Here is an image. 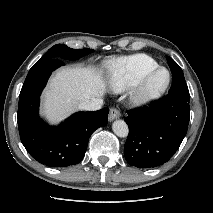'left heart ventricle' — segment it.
Wrapping results in <instances>:
<instances>
[{
    "label": "left heart ventricle",
    "instance_id": "1",
    "mask_svg": "<svg viewBox=\"0 0 213 213\" xmlns=\"http://www.w3.org/2000/svg\"><path fill=\"white\" fill-rule=\"evenodd\" d=\"M166 78H167L166 72L162 71L158 73L152 80L151 86L154 88L161 86L166 81Z\"/></svg>",
    "mask_w": 213,
    "mask_h": 213
}]
</instances>
